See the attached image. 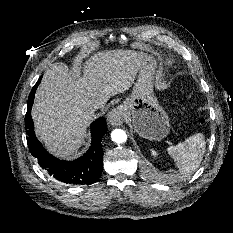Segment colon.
Listing matches in <instances>:
<instances>
[{
	"mask_svg": "<svg viewBox=\"0 0 233 233\" xmlns=\"http://www.w3.org/2000/svg\"><path fill=\"white\" fill-rule=\"evenodd\" d=\"M200 122L202 123V122H203V120L201 119V120H200Z\"/></svg>",
	"mask_w": 233,
	"mask_h": 233,
	"instance_id": "colon-1",
	"label": "colon"
}]
</instances>
